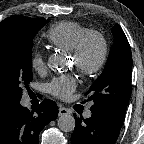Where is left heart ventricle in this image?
Segmentation results:
<instances>
[{
  "mask_svg": "<svg viewBox=\"0 0 144 144\" xmlns=\"http://www.w3.org/2000/svg\"><path fill=\"white\" fill-rule=\"evenodd\" d=\"M100 53V46L96 40H92L89 42L87 49H86V56L85 61L88 64L93 63ZM72 63L75 64L74 58H72Z\"/></svg>",
  "mask_w": 144,
  "mask_h": 144,
  "instance_id": "obj_1",
  "label": "left heart ventricle"
}]
</instances>
